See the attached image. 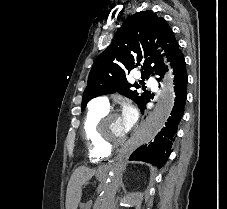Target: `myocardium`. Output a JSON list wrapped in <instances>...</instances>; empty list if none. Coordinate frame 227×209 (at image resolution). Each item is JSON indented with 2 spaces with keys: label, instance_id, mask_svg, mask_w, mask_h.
<instances>
[{
  "label": "myocardium",
  "instance_id": "myocardium-1",
  "mask_svg": "<svg viewBox=\"0 0 227 209\" xmlns=\"http://www.w3.org/2000/svg\"><path fill=\"white\" fill-rule=\"evenodd\" d=\"M119 117L118 113L108 111L97 123L96 125V138L98 143L108 151L116 150L128 142V138L124 140H118V141H110L106 138L104 133V128L106 124L112 120L113 118Z\"/></svg>",
  "mask_w": 227,
  "mask_h": 209
}]
</instances>
